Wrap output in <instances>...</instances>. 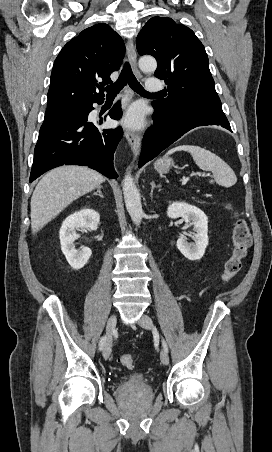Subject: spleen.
I'll return each instance as SVG.
<instances>
[{"instance_id": "spleen-1", "label": "spleen", "mask_w": 272, "mask_h": 452, "mask_svg": "<svg viewBox=\"0 0 272 452\" xmlns=\"http://www.w3.org/2000/svg\"><path fill=\"white\" fill-rule=\"evenodd\" d=\"M176 151L189 152L200 169L211 171L213 173V180L210 181L211 183L216 182L224 187H231L236 184L237 177L234 171L226 162L211 151L194 145H180L170 149L166 153V156L173 154Z\"/></svg>"}]
</instances>
